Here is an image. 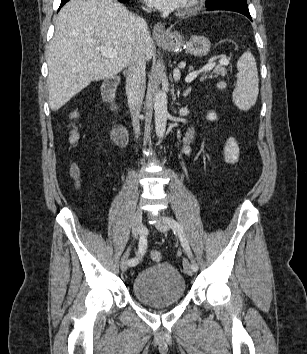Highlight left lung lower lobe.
<instances>
[{"label": "left lung lower lobe", "mask_w": 307, "mask_h": 354, "mask_svg": "<svg viewBox=\"0 0 307 354\" xmlns=\"http://www.w3.org/2000/svg\"><path fill=\"white\" fill-rule=\"evenodd\" d=\"M208 10H229V11H235L239 12L241 14H244L247 16L250 20H252L248 6H234V5H216L212 7H207Z\"/></svg>", "instance_id": "1"}]
</instances>
